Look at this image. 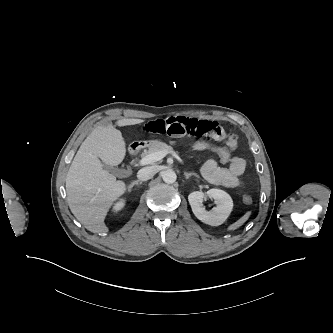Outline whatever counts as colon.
I'll list each match as a JSON object with an SVG mask.
<instances>
[{
  "label": "colon",
  "mask_w": 333,
  "mask_h": 333,
  "mask_svg": "<svg viewBox=\"0 0 333 333\" xmlns=\"http://www.w3.org/2000/svg\"><path fill=\"white\" fill-rule=\"evenodd\" d=\"M185 143L186 147L192 151H211L216 153L222 162H227L229 159L227 150L222 146L212 143L211 141L204 139H188ZM243 201L245 204H251L253 199L250 195L245 194L243 196Z\"/></svg>",
  "instance_id": "5ec220e1"
}]
</instances>
